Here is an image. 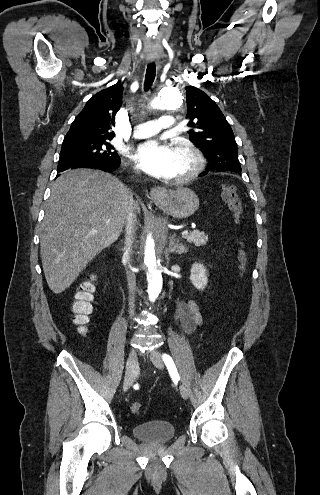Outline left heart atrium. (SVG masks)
<instances>
[{"instance_id": "left-heart-atrium-1", "label": "left heart atrium", "mask_w": 320, "mask_h": 495, "mask_svg": "<svg viewBox=\"0 0 320 495\" xmlns=\"http://www.w3.org/2000/svg\"><path fill=\"white\" fill-rule=\"evenodd\" d=\"M133 160L147 174L158 178L174 177L175 155L170 146L158 141H146L136 147Z\"/></svg>"}]
</instances>
